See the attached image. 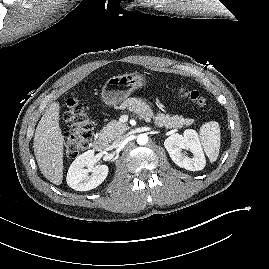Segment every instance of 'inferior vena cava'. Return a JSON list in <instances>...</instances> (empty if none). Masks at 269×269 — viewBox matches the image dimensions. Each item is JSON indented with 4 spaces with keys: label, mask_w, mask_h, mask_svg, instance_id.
<instances>
[{
    "label": "inferior vena cava",
    "mask_w": 269,
    "mask_h": 269,
    "mask_svg": "<svg viewBox=\"0 0 269 269\" xmlns=\"http://www.w3.org/2000/svg\"><path fill=\"white\" fill-rule=\"evenodd\" d=\"M123 139H124L123 137H120V138L116 139V140L113 142L112 146H113L114 148H118V147L120 146V144L122 143Z\"/></svg>",
    "instance_id": "1"
}]
</instances>
